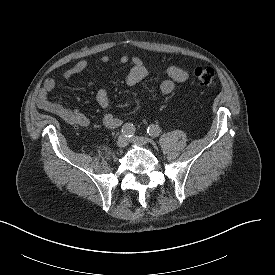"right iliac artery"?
<instances>
[{"label":"right iliac artery","instance_id":"obj_1","mask_svg":"<svg viewBox=\"0 0 275 275\" xmlns=\"http://www.w3.org/2000/svg\"><path fill=\"white\" fill-rule=\"evenodd\" d=\"M122 134L126 135L127 137H132L135 134V127L131 123H126L121 130Z\"/></svg>","mask_w":275,"mask_h":275}]
</instances>
